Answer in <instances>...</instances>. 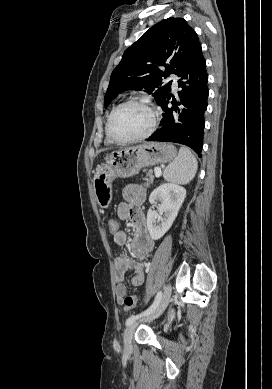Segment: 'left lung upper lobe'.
<instances>
[{
	"instance_id": "1",
	"label": "left lung upper lobe",
	"mask_w": 272,
	"mask_h": 389,
	"mask_svg": "<svg viewBox=\"0 0 272 389\" xmlns=\"http://www.w3.org/2000/svg\"><path fill=\"white\" fill-rule=\"evenodd\" d=\"M200 47L198 35L183 18H168L155 24L124 52L111 74L105 107L119 93L142 88L161 105L171 90V81L164 84L162 78L172 73L179 75Z\"/></svg>"
}]
</instances>
